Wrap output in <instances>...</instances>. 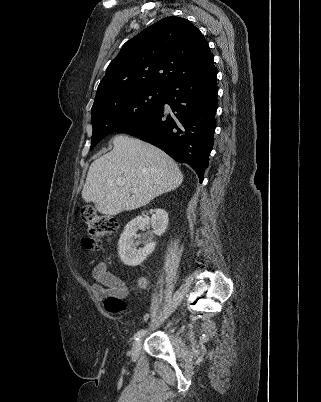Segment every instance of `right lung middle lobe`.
I'll return each mask as SVG.
<instances>
[{"label": "right lung middle lobe", "mask_w": 321, "mask_h": 402, "mask_svg": "<svg viewBox=\"0 0 321 402\" xmlns=\"http://www.w3.org/2000/svg\"><path fill=\"white\" fill-rule=\"evenodd\" d=\"M164 94V88H146L114 95L93 104L90 150L107 134L157 110L163 102Z\"/></svg>", "instance_id": "1"}]
</instances>
